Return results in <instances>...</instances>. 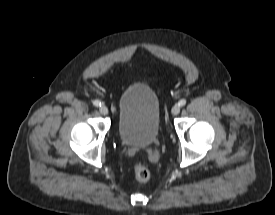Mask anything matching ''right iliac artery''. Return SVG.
<instances>
[{
  "instance_id": "right-iliac-artery-1",
  "label": "right iliac artery",
  "mask_w": 275,
  "mask_h": 215,
  "mask_svg": "<svg viewBox=\"0 0 275 215\" xmlns=\"http://www.w3.org/2000/svg\"><path fill=\"white\" fill-rule=\"evenodd\" d=\"M93 105L96 107H99V106H101V102L99 100H94Z\"/></svg>"
}]
</instances>
